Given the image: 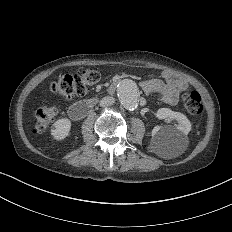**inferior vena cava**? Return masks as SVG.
Returning <instances> with one entry per match:
<instances>
[{
  "label": "inferior vena cava",
  "mask_w": 232,
  "mask_h": 232,
  "mask_svg": "<svg viewBox=\"0 0 232 232\" xmlns=\"http://www.w3.org/2000/svg\"><path fill=\"white\" fill-rule=\"evenodd\" d=\"M114 103V98L110 96H105L100 101V106H108Z\"/></svg>",
  "instance_id": "1"
}]
</instances>
